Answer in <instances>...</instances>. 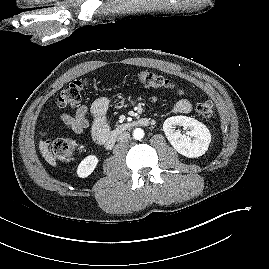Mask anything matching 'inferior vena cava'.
I'll use <instances>...</instances> for the list:
<instances>
[{
	"label": "inferior vena cava",
	"instance_id": "inferior-vena-cava-1",
	"mask_svg": "<svg viewBox=\"0 0 269 269\" xmlns=\"http://www.w3.org/2000/svg\"><path fill=\"white\" fill-rule=\"evenodd\" d=\"M130 139V133L128 132H123L118 136V141L120 143H125Z\"/></svg>",
	"mask_w": 269,
	"mask_h": 269
}]
</instances>
